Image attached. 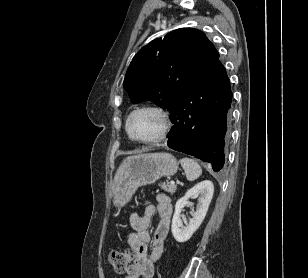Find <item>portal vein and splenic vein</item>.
<instances>
[{
  "label": "portal vein and splenic vein",
  "mask_w": 308,
  "mask_h": 278,
  "mask_svg": "<svg viewBox=\"0 0 308 278\" xmlns=\"http://www.w3.org/2000/svg\"><path fill=\"white\" fill-rule=\"evenodd\" d=\"M170 184H171V185H174V184H175V182H174V181H170Z\"/></svg>",
  "instance_id": "obj_1"
}]
</instances>
